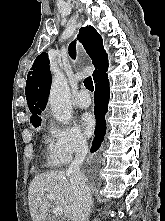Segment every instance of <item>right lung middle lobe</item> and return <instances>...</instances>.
Segmentation results:
<instances>
[{"instance_id": "obj_1", "label": "right lung middle lobe", "mask_w": 165, "mask_h": 221, "mask_svg": "<svg viewBox=\"0 0 165 221\" xmlns=\"http://www.w3.org/2000/svg\"><path fill=\"white\" fill-rule=\"evenodd\" d=\"M31 123L33 124V126L37 127L41 125V118H36V119H32Z\"/></svg>"}]
</instances>
